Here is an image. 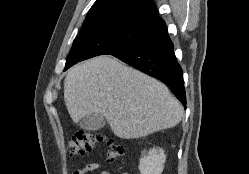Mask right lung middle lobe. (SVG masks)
<instances>
[{
	"instance_id": "1",
	"label": "right lung middle lobe",
	"mask_w": 249,
	"mask_h": 174,
	"mask_svg": "<svg viewBox=\"0 0 249 174\" xmlns=\"http://www.w3.org/2000/svg\"><path fill=\"white\" fill-rule=\"evenodd\" d=\"M148 26L121 23L101 29L80 31L68 55L65 70L72 65L98 55L115 54L143 40Z\"/></svg>"
}]
</instances>
